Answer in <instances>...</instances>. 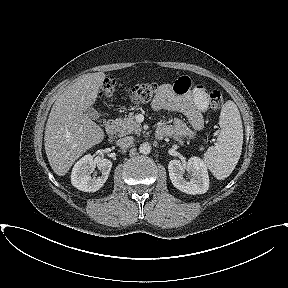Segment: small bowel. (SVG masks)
<instances>
[{"mask_svg": "<svg viewBox=\"0 0 288 288\" xmlns=\"http://www.w3.org/2000/svg\"><path fill=\"white\" fill-rule=\"evenodd\" d=\"M156 111L169 110L184 114L192 127L176 118L172 125H161L158 130L164 136H183L194 138L195 131L204 127V116L209 106V96L205 88L187 76L178 78L173 84H163L152 101Z\"/></svg>", "mask_w": 288, "mask_h": 288, "instance_id": "1", "label": "small bowel"}]
</instances>
